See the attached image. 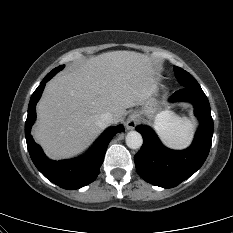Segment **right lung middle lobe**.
I'll return each instance as SVG.
<instances>
[{"label": "right lung middle lobe", "mask_w": 233, "mask_h": 233, "mask_svg": "<svg viewBox=\"0 0 233 233\" xmlns=\"http://www.w3.org/2000/svg\"><path fill=\"white\" fill-rule=\"evenodd\" d=\"M64 68V65L58 66L57 68H54L49 74L47 75H52L54 76L56 73H58L61 69Z\"/></svg>", "instance_id": "dd1d6c3e"}]
</instances>
